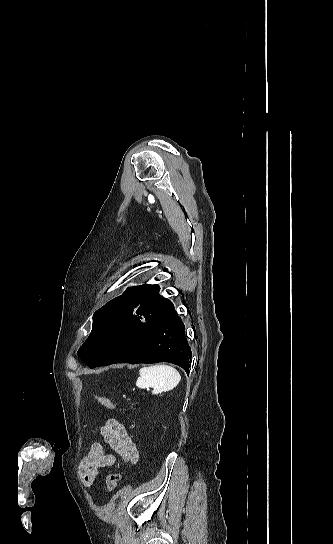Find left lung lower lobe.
<instances>
[{
	"instance_id": "left-lung-lower-lobe-1",
	"label": "left lung lower lobe",
	"mask_w": 333,
	"mask_h": 544,
	"mask_svg": "<svg viewBox=\"0 0 333 544\" xmlns=\"http://www.w3.org/2000/svg\"><path fill=\"white\" fill-rule=\"evenodd\" d=\"M101 352L103 359L97 366L170 362L181 366L187 373L192 357L184 323L174 307L151 324H135L127 345L119 355L116 356L114 350L106 347H101Z\"/></svg>"
}]
</instances>
